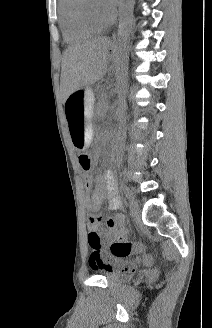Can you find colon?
I'll return each mask as SVG.
<instances>
[{
	"instance_id": "1",
	"label": "colon",
	"mask_w": 212,
	"mask_h": 328,
	"mask_svg": "<svg viewBox=\"0 0 212 328\" xmlns=\"http://www.w3.org/2000/svg\"><path fill=\"white\" fill-rule=\"evenodd\" d=\"M78 165L80 170H92V160L89 153H80L78 157ZM88 244L92 249L89 263L98 269H112V258H127L136 252L143 250L142 244L131 242L126 239H118L111 244L110 253H105L102 250L100 235L96 231H91L88 234ZM141 261L145 265H151L154 261L150 255H143Z\"/></svg>"
}]
</instances>
